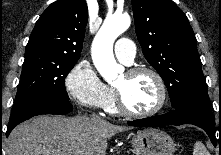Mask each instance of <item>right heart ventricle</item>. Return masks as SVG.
<instances>
[{
    "label": "right heart ventricle",
    "mask_w": 221,
    "mask_h": 155,
    "mask_svg": "<svg viewBox=\"0 0 221 155\" xmlns=\"http://www.w3.org/2000/svg\"><path fill=\"white\" fill-rule=\"evenodd\" d=\"M109 90H110V95H109L108 101L105 104L104 108L109 113H113L114 114V113H117L118 110L116 108L113 91L110 88H109Z\"/></svg>",
    "instance_id": "e07e8e85"
}]
</instances>
